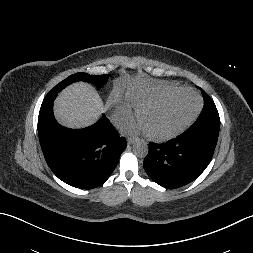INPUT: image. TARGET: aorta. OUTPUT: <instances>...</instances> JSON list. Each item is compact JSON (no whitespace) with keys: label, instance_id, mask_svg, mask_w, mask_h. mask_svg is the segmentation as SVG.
Wrapping results in <instances>:
<instances>
[{"label":"aorta","instance_id":"762f6f07","mask_svg":"<svg viewBox=\"0 0 253 253\" xmlns=\"http://www.w3.org/2000/svg\"><path fill=\"white\" fill-rule=\"evenodd\" d=\"M134 154L139 158H144L148 154V144L144 140H138L133 146Z\"/></svg>","mask_w":253,"mask_h":253}]
</instances>
